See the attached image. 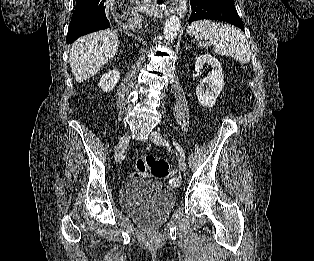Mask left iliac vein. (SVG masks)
<instances>
[{
    "label": "left iliac vein",
    "instance_id": "left-iliac-vein-1",
    "mask_svg": "<svg viewBox=\"0 0 314 261\" xmlns=\"http://www.w3.org/2000/svg\"><path fill=\"white\" fill-rule=\"evenodd\" d=\"M150 140L157 145L165 144V139L158 131H153L151 133ZM178 165L181 171L185 172L187 170V165L183 157L178 158Z\"/></svg>",
    "mask_w": 314,
    "mask_h": 261
}]
</instances>
